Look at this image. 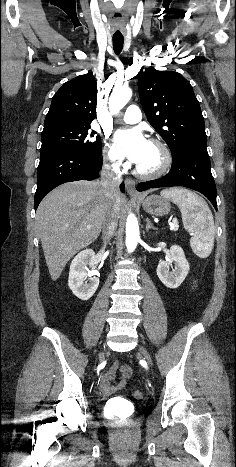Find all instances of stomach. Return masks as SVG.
<instances>
[{
    "instance_id": "stomach-1",
    "label": "stomach",
    "mask_w": 236,
    "mask_h": 467,
    "mask_svg": "<svg viewBox=\"0 0 236 467\" xmlns=\"http://www.w3.org/2000/svg\"><path fill=\"white\" fill-rule=\"evenodd\" d=\"M143 209L155 216H164L171 210V205L167 199L158 195H150L141 199Z\"/></svg>"
}]
</instances>
